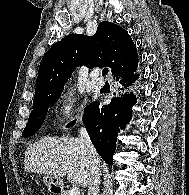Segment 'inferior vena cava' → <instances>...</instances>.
Wrapping results in <instances>:
<instances>
[{
  "instance_id": "1",
  "label": "inferior vena cava",
  "mask_w": 189,
  "mask_h": 195,
  "mask_svg": "<svg viewBox=\"0 0 189 195\" xmlns=\"http://www.w3.org/2000/svg\"><path fill=\"white\" fill-rule=\"evenodd\" d=\"M80 140L86 146L88 160L90 163L91 178L88 182V195H99L100 168L97 161L98 154L89 138L85 127L80 129Z\"/></svg>"
}]
</instances>
